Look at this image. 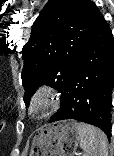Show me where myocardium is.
<instances>
[{"label": "myocardium", "mask_w": 114, "mask_h": 156, "mask_svg": "<svg viewBox=\"0 0 114 156\" xmlns=\"http://www.w3.org/2000/svg\"><path fill=\"white\" fill-rule=\"evenodd\" d=\"M61 97L57 90L49 84H41L32 93L27 112L35 120L43 119L58 110Z\"/></svg>", "instance_id": "f54148a6"}]
</instances>
